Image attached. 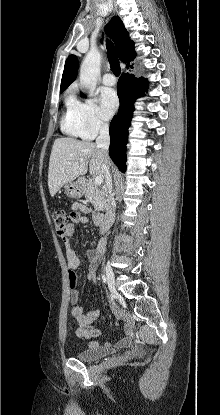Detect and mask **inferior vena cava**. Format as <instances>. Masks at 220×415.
<instances>
[{
  "label": "inferior vena cava",
  "mask_w": 220,
  "mask_h": 415,
  "mask_svg": "<svg viewBox=\"0 0 220 415\" xmlns=\"http://www.w3.org/2000/svg\"><path fill=\"white\" fill-rule=\"evenodd\" d=\"M110 143V136H109V126L107 123H101L99 129V136L96 139V145L98 148L102 149L105 154L108 152ZM104 177L106 179V183L108 186V190L110 195L108 196V215L105 223L109 226L113 223V213L115 210V200L112 196V177L110 173L109 166L105 164L104 166Z\"/></svg>",
  "instance_id": "obj_1"
}]
</instances>
